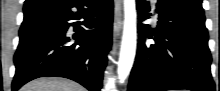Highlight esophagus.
<instances>
[{
	"mask_svg": "<svg viewBox=\"0 0 220 91\" xmlns=\"http://www.w3.org/2000/svg\"><path fill=\"white\" fill-rule=\"evenodd\" d=\"M122 26V12H121V0L115 1V14H114V34L119 36Z\"/></svg>",
	"mask_w": 220,
	"mask_h": 91,
	"instance_id": "esophagus-1",
	"label": "esophagus"
}]
</instances>
